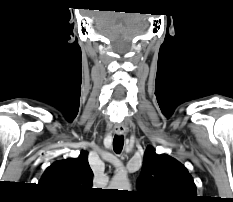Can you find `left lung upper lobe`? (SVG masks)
Returning a JSON list of instances; mask_svg holds the SVG:
<instances>
[{
  "mask_svg": "<svg viewBox=\"0 0 233 202\" xmlns=\"http://www.w3.org/2000/svg\"><path fill=\"white\" fill-rule=\"evenodd\" d=\"M138 193L144 202H196V185L188 170L167 154L149 146L144 155Z\"/></svg>",
  "mask_w": 233,
  "mask_h": 202,
  "instance_id": "5c2ea615",
  "label": "left lung upper lobe"
}]
</instances>
